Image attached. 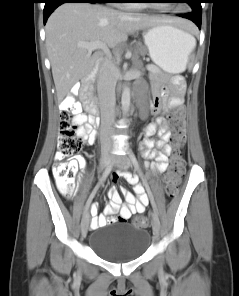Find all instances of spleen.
<instances>
[{
  "label": "spleen",
  "mask_w": 239,
  "mask_h": 296,
  "mask_svg": "<svg viewBox=\"0 0 239 296\" xmlns=\"http://www.w3.org/2000/svg\"><path fill=\"white\" fill-rule=\"evenodd\" d=\"M191 43H192V49H193V47L195 46V39H194L193 36L191 37ZM192 49H191V50H192Z\"/></svg>",
  "instance_id": "obj_1"
}]
</instances>
